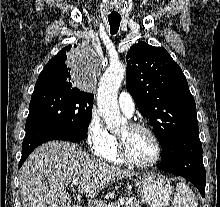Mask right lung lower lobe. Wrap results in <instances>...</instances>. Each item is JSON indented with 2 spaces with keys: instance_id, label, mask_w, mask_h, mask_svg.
I'll return each mask as SVG.
<instances>
[{
  "instance_id": "obj_1",
  "label": "right lung lower lobe",
  "mask_w": 220,
  "mask_h": 207,
  "mask_svg": "<svg viewBox=\"0 0 220 207\" xmlns=\"http://www.w3.org/2000/svg\"><path fill=\"white\" fill-rule=\"evenodd\" d=\"M87 132L84 130L46 128L33 129L26 132L22 144V157L19 167L24 163L29 154L40 144L51 140H65L70 142H78L84 139Z\"/></svg>"
}]
</instances>
